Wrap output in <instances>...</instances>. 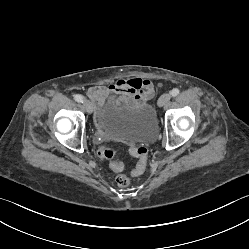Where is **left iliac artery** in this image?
<instances>
[{"label":"left iliac artery","instance_id":"44dca946","mask_svg":"<svg viewBox=\"0 0 249 249\" xmlns=\"http://www.w3.org/2000/svg\"><path fill=\"white\" fill-rule=\"evenodd\" d=\"M170 94L173 97L177 96L179 94V89H177V88L172 89L171 92H170Z\"/></svg>","mask_w":249,"mask_h":249}]
</instances>
